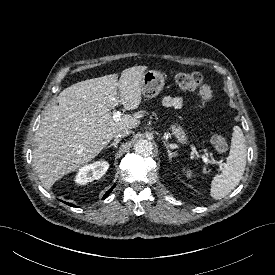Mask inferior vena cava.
<instances>
[{
    "instance_id": "obj_1",
    "label": "inferior vena cava",
    "mask_w": 275,
    "mask_h": 275,
    "mask_svg": "<svg viewBox=\"0 0 275 275\" xmlns=\"http://www.w3.org/2000/svg\"><path fill=\"white\" fill-rule=\"evenodd\" d=\"M130 133H131L130 130H128V129H123V130L119 131L118 133H116V134L114 135V137H115L116 139H117V138H121V137H126V136H128Z\"/></svg>"
}]
</instances>
